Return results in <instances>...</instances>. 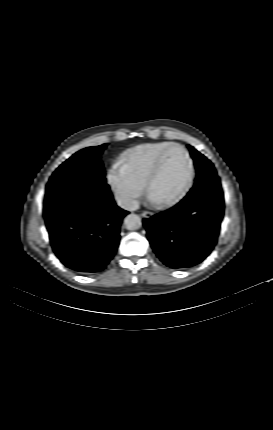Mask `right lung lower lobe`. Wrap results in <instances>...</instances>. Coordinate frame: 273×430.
Masks as SVG:
<instances>
[{"label": "right lung lower lobe", "instance_id": "98d812e1", "mask_svg": "<svg viewBox=\"0 0 273 430\" xmlns=\"http://www.w3.org/2000/svg\"><path fill=\"white\" fill-rule=\"evenodd\" d=\"M128 213L115 204L110 192H83L44 207L56 256L66 267L85 275L107 267Z\"/></svg>", "mask_w": 273, "mask_h": 430}]
</instances>
